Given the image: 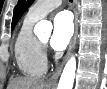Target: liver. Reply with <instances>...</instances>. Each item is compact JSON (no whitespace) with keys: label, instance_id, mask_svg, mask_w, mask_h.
<instances>
[{"label":"liver","instance_id":"obj_1","mask_svg":"<svg viewBox=\"0 0 107 89\" xmlns=\"http://www.w3.org/2000/svg\"><path fill=\"white\" fill-rule=\"evenodd\" d=\"M44 81L33 77H17L13 79L8 89H43Z\"/></svg>","mask_w":107,"mask_h":89}]
</instances>
